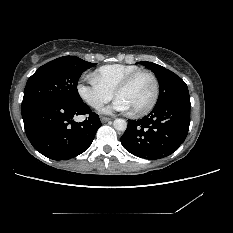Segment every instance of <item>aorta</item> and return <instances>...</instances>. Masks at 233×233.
<instances>
[{
  "instance_id": "obj_1",
  "label": "aorta",
  "mask_w": 233,
  "mask_h": 233,
  "mask_svg": "<svg viewBox=\"0 0 233 233\" xmlns=\"http://www.w3.org/2000/svg\"><path fill=\"white\" fill-rule=\"evenodd\" d=\"M113 126L118 131H125L127 128V122L124 119H115Z\"/></svg>"
}]
</instances>
